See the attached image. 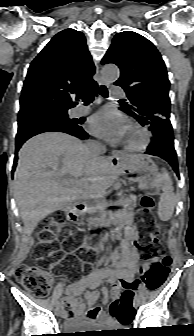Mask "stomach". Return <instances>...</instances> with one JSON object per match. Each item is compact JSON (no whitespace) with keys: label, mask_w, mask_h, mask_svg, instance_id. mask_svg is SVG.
Instances as JSON below:
<instances>
[{"label":"stomach","mask_w":194,"mask_h":336,"mask_svg":"<svg viewBox=\"0 0 194 336\" xmlns=\"http://www.w3.org/2000/svg\"><path fill=\"white\" fill-rule=\"evenodd\" d=\"M118 165L122 174H137L139 188L158 193L163 187V179L159 174L157 167L148 157L144 155L122 156L114 161Z\"/></svg>","instance_id":"1"}]
</instances>
